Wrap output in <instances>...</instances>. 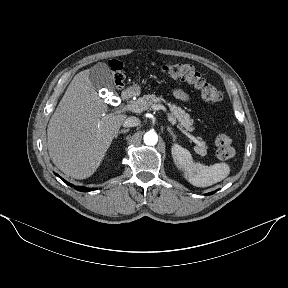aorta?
Returning <instances> with one entry per match:
<instances>
[{
	"label": "aorta",
	"instance_id": "aorta-1",
	"mask_svg": "<svg viewBox=\"0 0 288 288\" xmlns=\"http://www.w3.org/2000/svg\"><path fill=\"white\" fill-rule=\"evenodd\" d=\"M157 142H158V135L155 132L149 131V132L145 133L144 143L146 145L154 146L157 144Z\"/></svg>",
	"mask_w": 288,
	"mask_h": 288
}]
</instances>
